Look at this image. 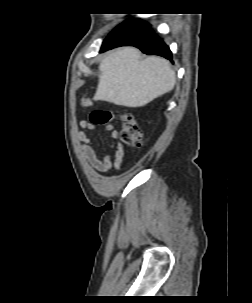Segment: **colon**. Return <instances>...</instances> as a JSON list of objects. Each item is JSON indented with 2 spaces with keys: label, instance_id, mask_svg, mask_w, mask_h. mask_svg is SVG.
<instances>
[{
  "label": "colon",
  "instance_id": "5ec220e1",
  "mask_svg": "<svg viewBox=\"0 0 252 303\" xmlns=\"http://www.w3.org/2000/svg\"><path fill=\"white\" fill-rule=\"evenodd\" d=\"M113 113L105 109H95L91 112L89 120L94 125H105L113 120ZM121 141L125 144L137 146L140 144V130L135 118L131 114L122 116Z\"/></svg>",
  "mask_w": 252,
  "mask_h": 303
}]
</instances>
